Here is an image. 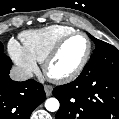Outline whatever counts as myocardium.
<instances>
[{
	"label": "myocardium",
	"mask_w": 119,
	"mask_h": 119,
	"mask_svg": "<svg viewBox=\"0 0 119 119\" xmlns=\"http://www.w3.org/2000/svg\"><path fill=\"white\" fill-rule=\"evenodd\" d=\"M76 35H80L83 36L86 41H87V51L83 57V59L81 60V62L78 64V66L72 70L71 72L64 74V75H60V76H54L50 73V65L52 64V62L54 61V59L58 56L61 48L63 47V45L73 36ZM91 53H92V42L90 40V38L88 37L87 34H85L82 31H73L70 32L68 34H66L65 36H63L55 45L54 47L51 49V51L48 53V55L46 56V58L43 61V71L45 73V75L47 76L48 79H50L53 82L56 83H67L70 82L72 80H74L75 78H77L82 71L84 70V68L86 67L90 57H91Z\"/></svg>",
	"instance_id": "f54148a6"
}]
</instances>
